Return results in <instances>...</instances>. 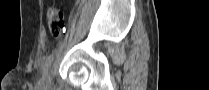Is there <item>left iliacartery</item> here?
<instances>
[{
	"label": "left iliac artery",
	"instance_id": "left-iliac-artery-1",
	"mask_svg": "<svg viewBox=\"0 0 209 90\" xmlns=\"http://www.w3.org/2000/svg\"><path fill=\"white\" fill-rule=\"evenodd\" d=\"M56 51H53L45 60L44 67H43V74H47L48 70L50 69L52 62L54 60Z\"/></svg>",
	"mask_w": 209,
	"mask_h": 90
}]
</instances>
